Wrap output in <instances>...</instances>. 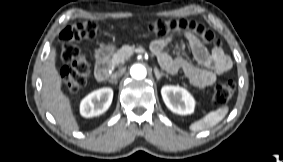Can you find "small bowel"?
<instances>
[{
  "label": "small bowel",
  "instance_id": "obj_1",
  "mask_svg": "<svg viewBox=\"0 0 283 162\" xmlns=\"http://www.w3.org/2000/svg\"><path fill=\"white\" fill-rule=\"evenodd\" d=\"M184 36L198 65L183 57H173L165 51L172 37L156 39L151 43L152 52L166 71L176 73L182 70L194 86L206 88L211 86L218 76L230 70L232 61L220 47L208 51L196 37L189 34ZM178 48L184 49L185 45L181 44Z\"/></svg>",
  "mask_w": 283,
  "mask_h": 162
}]
</instances>
